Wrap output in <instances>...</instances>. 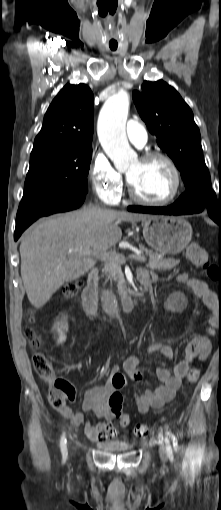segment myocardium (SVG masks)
Listing matches in <instances>:
<instances>
[{"label":"myocardium","mask_w":221,"mask_h":510,"mask_svg":"<svg viewBox=\"0 0 221 510\" xmlns=\"http://www.w3.org/2000/svg\"><path fill=\"white\" fill-rule=\"evenodd\" d=\"M157 159L164 161L169 166V168L171 169V171L173 173L174 187H173L171 194L168 197H166L164 199H160V200H150V199L143 198L138 195V193L135 191V189L133 187L132 182L127 177L128 194L132 201H134L138 204L146 205V206H156L157 207V206L168 205V204L172 203L179 196L181 189H182V176H181V172H180L177 164L169 155L162 153V152H146L143 155H141V157L139 158V160L142 162H148V161L157 160Z\"/></svg>","instance_id":"f54148a6"}]
</instances>
